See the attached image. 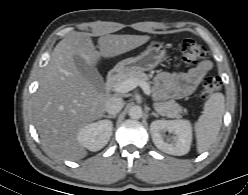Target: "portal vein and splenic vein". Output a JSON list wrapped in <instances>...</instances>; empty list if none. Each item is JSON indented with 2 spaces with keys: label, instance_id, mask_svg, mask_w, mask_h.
<instances>
[{
  "label": "portal vein and splenic vein",
  "instance_id": "obj_1",
  "mask_svg": "<svg viewBox=\"0 0 248 195\" xmlns=\"http://www.w3.org/2000/svg\"><path fill=\"white\" fill-rule=\"evenodd\" d=\"M140 86L146 95H150L151 90L147 82L138 81L137 79H128L114 86V91L117 93H127L136 87Z\"/></svg>",
  "mask_w": 248,
  "mask_h": 195
}]
</instances>
